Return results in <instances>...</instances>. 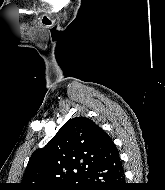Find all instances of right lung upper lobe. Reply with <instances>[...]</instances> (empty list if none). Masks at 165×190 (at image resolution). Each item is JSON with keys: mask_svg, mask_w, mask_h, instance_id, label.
Returning a JSON list of instances; mask_svg holds the SVG:
<instances>
[{"mask_svg": "<svg viewBox=\"0 0 165 190\" xmlns=\"http://www.w3.org/2000/svg\"><path fill=\"white\" fill-rule=\"evenodd\" d=\"M110 136L86 117L68 120L49 141L31 155L20 190H54L81 184L82 175L116 155Z\"/></svg>", "mask_w": 165, "mask_h": 190, "instance_id": "1", "label": "right lung upper lobe"}]
</instances>
